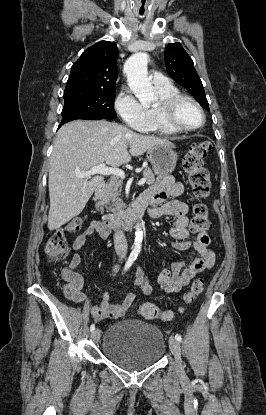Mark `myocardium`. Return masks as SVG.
I'll use <instances>...</instances> for the list:
<instances>
[{
	"instance_id": "f54148a6",
	"label": "myocardium",
	"mask_w": 266,
	"mask_h": 415,
	"mask_svg": "<svg viewBox=\"0 0 266 415\" xmlns=\"http://www.w3.org/2000/svg\"><path fill=\"white\" fill-rule=\"evenodd\" d=\"M188 101L192 103L200 112L202 121L197 126H186L183 125L177 118V110L181 102ZM157 108L163 121L173 130L177 132H191L200 129L206 123V114L200 103L193 97L183 94L176 93L159 99L157 102Z\"/></svg>"
}]
</instances>
